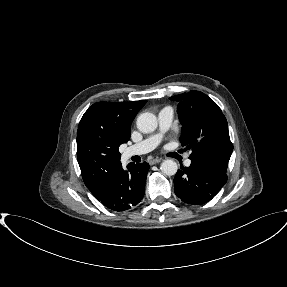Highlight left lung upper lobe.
Wrapping results in <instances>:
<instances>
[{"instance_id": "1", "label": "left lung upper lobe", "mask_w": 287, "mask_h": 287, "mask_svg": "<svg viewBox=\"0 0 287 287\" xmlns=\"http://www.w3.org/2000/svg\"><path fill=\"white\" fill-rule=\"evenodd\" d=\"M179 102L182 124L180 142L191 149L190 159H211L228 164L233 145L227 120L219 106L200 91L191 90L170 98Z\"/></svg>"}]
</instances>
